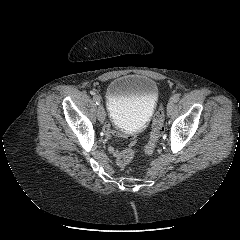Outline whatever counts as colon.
<instances>
[{
	"label": "colon",
	"mask_w": 240,
	"mask_h": 240,
	"mask_svg": "<svg viewBox=\"0 0 240 240\" xmlns=\"http://www.w3.org/2000/svg\"><path fill=\"white\" fill-rule=\"evenodd\" d=\"M163 131H164V112L162 108H159L153 118L149 142L144 149L145 153L147 154L153 153L160 137L163 134ZM134 154L135 152L131 147L121 152L120 155L117 157V164L121 167L126 166L132 160Z\"/></svg>",
	"instance_id": "colon-1"
}]
</instances>
